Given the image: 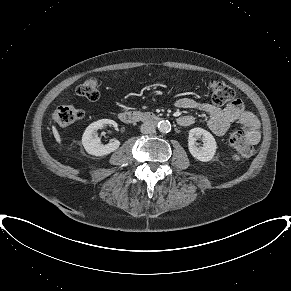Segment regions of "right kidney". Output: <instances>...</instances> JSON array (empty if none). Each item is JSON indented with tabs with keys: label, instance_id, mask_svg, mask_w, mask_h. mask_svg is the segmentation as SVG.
<instances>
[{
	"label": "right kidney",
	"instance_id": "1",
	"mask_svg": "<svg viewBox=\"0 0 291 291\" xmlns=\"http://www.w3.org/2000/svg\"><path fill=\"white\" fill-rule=\"evenodd\" d=\"M106 124L117 127V123L115 121L109 119H101L91 123L84 131L82 136V144L88 154L94 156H105L119 148L120 142L118 140H114L113 142L105 145L101 144V140L100 138H98L97 135V130L102 129Z\"/></svg>",
	"mask_w": 291,
	"mask_h": 291
}]
</instances>
